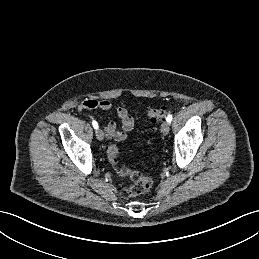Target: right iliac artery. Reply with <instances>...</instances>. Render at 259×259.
<instances>
[{
  "mask_svg": "<svg viewBox=\"0 0 259 259\" xmlns=\"http://www.w3.org/2000/svg\"><path fill=\"white\" fill-rule=\"evenodd\" d=\"M92 125L95 129H98V123L96 121H92Z\"/></svg>",
  "mask_w": 259,
  "mask_h": 259,
  "instance_id": "obj_1",
  "label": "right iliac artery"
}]
</instances>
